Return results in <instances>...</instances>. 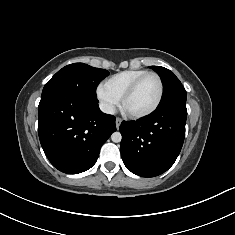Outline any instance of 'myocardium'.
Wrapping results in <instances>:
<instances>
[{"mask_svg": "<svg viewBox=\"0 0 235 235\" xmlns=\"http://www.w3.org/2000/svg\"><path fill=\"white\" fill-rule=\"evenodd\" d=\"M148 76L156 77V79L158 80V83H159V95H158L156 102L154 103V105L151 108H149L146 111L138 112V113L127 112L125 110L126 101L128 100V98L130 96L133 95V93L135 92V90L137 89L139 84ZM163 95H164V84H163L162 78L156 72H147V73L141 75L140 77H138L136 80H134L132 82V84L123 93V95L121 97V108L124 112L127 113L128 116H130L132 118H143V117L151 115L153 112H155L158 109V107L160 106V104L162 102Z\"/></svg>", "mask_w": 235, "mask_h": 235, "instance_id": "f54148a6", "label": "myocardium"}]
</instances>
